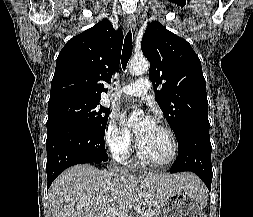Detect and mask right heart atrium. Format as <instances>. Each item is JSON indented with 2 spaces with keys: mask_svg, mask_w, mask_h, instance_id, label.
I'll list each match as a JSON object with an SVG mask.
<instances>
[{
  "mask_svg": "<svg viewBox=\"0 0 253 217\" xmlns=\"http://www.w3.org/2000/svg\"><path fill=\"white\" fill-rule=\"evenodd\" d=\"M105 139L110 151L117 159L124 160L129 156L133 144L132 136L114 117L109 121Z\"/></svg>",
  "mask_w": 253,
  "mask_h": 217,
  "instance_id": "d8ad5b80",
  "label": "right heart atrium"
}]
</instances>
